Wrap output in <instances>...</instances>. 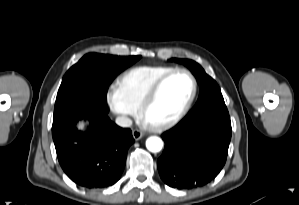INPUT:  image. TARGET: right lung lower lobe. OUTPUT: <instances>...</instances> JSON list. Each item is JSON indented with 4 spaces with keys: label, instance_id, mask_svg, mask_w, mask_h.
Instances as JSON below:
<instances>
[{
    "label": "right lung lower lobe",
    "instance_id": "98d812e1",
    "mask_svg": "<svg viewBox=\"0 0 299 205\" xmlns=\"http://www.w3.org/2000/svg\"><path fill=\"white\" fill-rule=\"evenodd\" d=\"M107 113V104L84 102L53 119L59 163L72 181L86 188L115 184L124 170L127 150L134 143L131 130L117 126ZM86 119L90 126L84 134L76 123Z\"/></svg>",
    "mask_w": 299,
    "mask_h": 205
}]
</instances>
